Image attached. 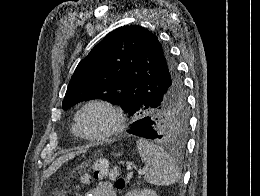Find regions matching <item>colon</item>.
I'll return each instance as SVG.
<instances>
[{
    "instance_id": "5ec220e1",
    "label": "colon",
    "mask_w": 260,
    "mask_h": 196,
    "mask_svg": "<svg viewBox=\"0 0 260 196\" xmlns=\"http://www.w3.org/2000/svg\"><path fill=\"white\" fill-rule=\"evenodd\" d=\"M78 176L84 183L92 180L97 181H114L120 180L119 171L116 167L109 168L108 163L105 160H97L93 162L89 169H80Z\"/></svg>"
}]
</instances>
